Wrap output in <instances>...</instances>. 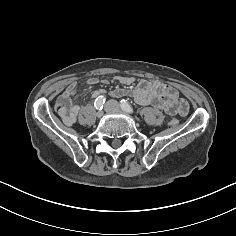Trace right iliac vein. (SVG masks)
Returning <instances> with one entry per match:
<instances>
[{"instance_id":"1","label":"right iliac vein","mask_w":236,"mask_h":236,"mask_svg":"<svg viewBox=\"0 0 236 236\" xmlns=\"http://www.w3.org/2000/svg\"><path fill=\"white\" fill-rule=\"evenodd\" d=\"M112 109H113V106L111 103L108 102L105 104V112L109 113L112 111Z\"/></svg>"}]
</instances>
